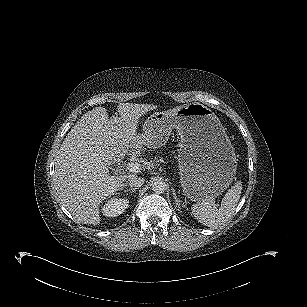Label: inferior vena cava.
Listing matches in <instances>:
<instances>
[{
  "mask_svg": "<svg viewBox=\"0 0 307 307\" xmlns=\"http://www.w3.org/2000/svg\"><path fill=\"white\" fill-rule=\"evenodd\" d=\"M145 180L141 177H131L129 179V186L130 187H141L144 184Z\"/></svg>",
  "mask_w": 307,
  "mask_h": 307,
  "instance_id": "inferior-vena-cava-1",
  "label": "inferior vena cava"
}]
</instances>
